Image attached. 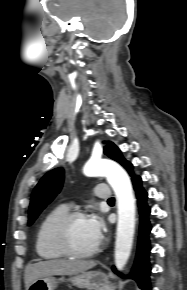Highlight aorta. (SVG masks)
Returning a JSON list of instances; mask_svg holds the SVG:
<instances>
[{"mask_svg": "<svg viewBox=\"0 0 187 290\" xmlns=\"http://www.w3.org/2000/svg\"><path fill=\"white\" fill-rule=\"evenodd\" d=\"M83 172L88 177L104 176L113 188L118 207V223L114 259L122 270L131 253L135 231V198L127 173L116 163L107 160H89Z\"/></svg>", "mask_w": 187, "mask_h": 290, "instance_id": "aorta-1", "label": "aorta"}]
</instances>
